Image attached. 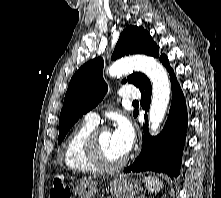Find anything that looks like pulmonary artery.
<instances>
[{
	"mask_svg": "<svg viewBox=\"0 0 221 198\" xmlns=\"http://www.w3.org/2000/svg\"><path fill=\"white\" fill-rule=\"evenodd\" d=\"M119 95L125 99H138L140 96L139 91L131 86H124L120 89ZM87 121L97 124L99 122V116L96 112L90 111L85 115Z\"/></svg>",
	"mask_w": 221,
	"mask_h": 198,
	"instance_id": "1",
	"label": "pulmonary artery"
}]
</instances>
